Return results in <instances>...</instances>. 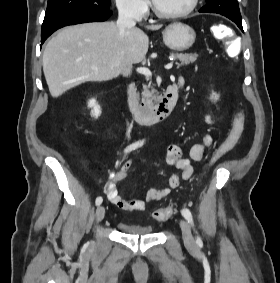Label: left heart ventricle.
I'll return each mask as SVG.
<instances>
[{"mask_svg":"<svg viewBox=\"0 0 280 283\" xmlns=\"http://www.w3.org/2000/svg\"><path fill=\"white\" fill-rule=\"evenodd\" d=\"M154 2L164 13H177L187 9L191 0H154Z\"/></svg>","mask_w":280,"mask_h":283,"instance_id":"b2bd125f","label":"left heart ventricle"}]
</instances>
